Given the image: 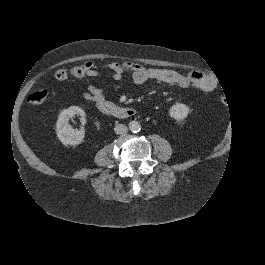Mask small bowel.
Here are the masks:
<instances>
[{"mask_svg": "<svg viewBox=\"0 0 265 265\" xmlns=\"http://www.w3.org/2000/svg\"><path fill=\"white\" fill-rule=\"evenodd\" d=\"M86 75L96 77L106 71L113 80V88L120 89L123 85L124 76L131 72L132 80L136 85H143L150 81H158L166 84L177 85L187 89L196 87L203 92H211L216 87L214 80L200 72H190L186 75L171 69L146 68L132 61L111 62L98 66L93 62L85 63ZM82 97L95 103L105 101L104 86L85 83Z\"/></svg>", "mask_w": 265, "mask_h": 265, "instance_id": "obj_1", "label": "small bowel"}]
</instances>
